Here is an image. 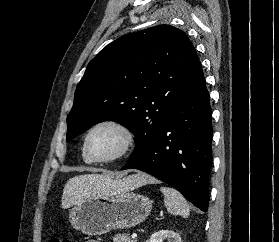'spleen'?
Masks as SVG:
<instances>
[{"instance_id": "spleen-1", "label": "spleen", "mask_w": 279, "mask_h": 242, "mask_svg": "<svg viewBox=\"0 0 279 242\" xmlns=\"http://www.w3.org/2000/svg\"><path fill=\"white\" fill-rule=\"evenodd\" d=\"M160 191L164 195V204L168 212L182 217H188L190 214L189 205L183 195L177 190L162 186Z\"/></svg>"}]
</instances>
